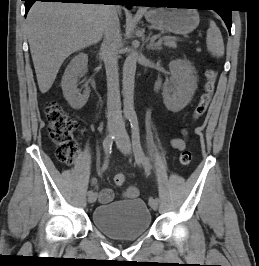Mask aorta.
I'll use <instances>...</instances> for the list:
<instances>
[{
    "mask_svg": "<svg viewBox=\"0 0 259 266\" xmlns=\"http://www.w3.org/2000/svg\"><path fill=\"white\" fill-rule=\"evenodd\" d=\"M137 65V53L132 51L126 58L123 65V105L124 115L126 117L135 114L134 110V87H135V73Z\"/></svg>",
    "mask_w": 259,
    "mask_h": 266,
    "instance_id": "aorta-1",
    "label": "aorta"
}]
</instances>
